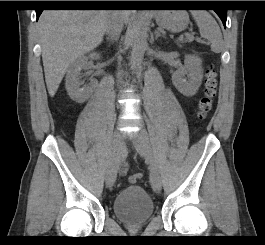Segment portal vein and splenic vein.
I'll return each instance as SVG.
<instances>
[{
    "label": "portal vein and splenic vein",
    "instance_id": "1",
    "mask_svg": "<svg viewBox=\"0 0 265 245\" xmlns=\"http://www.w3.org/2000/svg\"><path fill=\"white\" fill-rule=\"evenodd\" d=\"M186 37H187V38H194V36L189 35V34H186ZM182 39H183V37L180 38V40H182Z\"/></svg>",
    "mask_w": 265,
    "mask_h": 245
}]
</instances>
